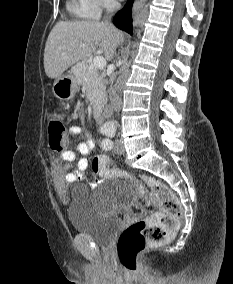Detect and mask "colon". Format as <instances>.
Listing matches in <instances>:
<instances>
[{"label": "colon", "mask_w": 233, "mask_h": 284, "mask_svg": "<svg viewBox=\"0 0 233 284\" xmlns=\"http://www.w3.org/2000/svg\"><path fill=\"white\" fill-rule=\"evenodd\" d=\"M48 139L51 149L58 152L65 149L66 130L58 118H52L48 123ZM91 168L102 179L126 180L141 196L158 202L159 211L151 219L132 223L118 239L117 252L121 265L128 271H135L139 254L148 245L165 242L178 227L182 215L181 204L173 191L160 180L147 175L136 177L115 166L107 156L94 157ZM147 187L151 193H148Z\"/></svg>", "instance_id": "obj_1"}]
</instances>
